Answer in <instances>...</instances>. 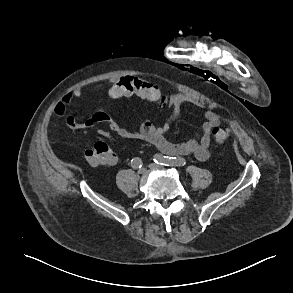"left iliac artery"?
<instances>
[{
    "label": "left iliac artery",
    "instance_id": "left-iliac-artery-1",
    "mask_svg": "<svg viewBox=\"0 0 293 293\" xmlns=\"http://www.w3.org/2000/svg\"><path fill=\"white\" fill-rule=\"evenodd\" d=\"M153 161L157 164L164 165V166H184L186 161L184 158L181 157H168L163 156L161 154H155Z\"/></svg>",
    "mask_w": 293,
    "mask_h": 293
}]
</instances>
